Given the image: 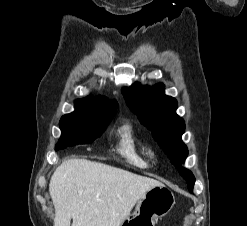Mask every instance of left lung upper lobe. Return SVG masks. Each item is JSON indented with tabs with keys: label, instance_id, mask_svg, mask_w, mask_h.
I'll return each instance as SVG.
<instances>
[{
	"label": "left lung upper lobe",
	"instance_id": "1",
	"mask_svg": "<svg viewBox=\"0 0 247 226\" xmlns=\"http://www.w3.org/2000/svg\"><path fill=\"white\" fill-rule=\"evenodd\" d=\"M122 94L127 106L151 131L153 138L179 169L187 184H192L195 178L188 169L182 167L188 149L181 139L185 124L176 114V99L164 94V85L161 83L152 87L134 83L122 88Z\"/></svg>",
	"mask_w": 247,
	"mask_h": 226
}]
</instances>
